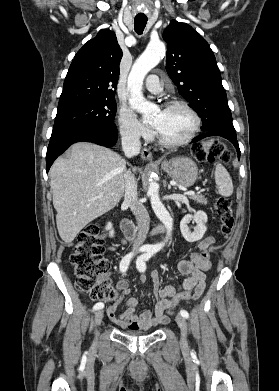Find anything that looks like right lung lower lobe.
Returning <instances> with one entry per match:
<instances>
[{
  "instance_id": "obj_1",
  "label": "right lung lower lobe",
  "mask_w": 279,
  "mask_h": 391,
  "mask_svg": "<svg viewBox=\"0 0 279 391\" xmlns=\"http://www.w3.org/2000/svg\"><path fill=\"white\" fill-rule=\"evenodd\" d=\"M79 141L93 142L111 148L117 142L116 125L107 123L51 135L46 155L47 171L59 155L70 145Z\"/></svg>"
}]
</instances>
